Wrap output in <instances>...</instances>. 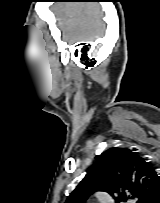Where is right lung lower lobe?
Masks as SVG:
<instances>
[{
  "label": "right lung lower lobe",
  "mask_w": 160,
  "mask_h": 203,
  "mask_svg": "<svg viewBox=\"0 0 160 203\" xmlns=\"http://www.w3.org/2000/svg\"><path fill=\"white\" fill-rule=\"evenodd\" d=\"M149 203H160V194L155 199L150 201Z\"/></svg>",
  "instance_id": "obj_1"
}]
</instances>
